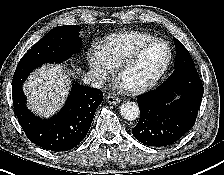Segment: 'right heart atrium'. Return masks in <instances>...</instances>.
Wrapping results in <instances>:
<instances>
[{"label": "right heart atrium", "mask_w": 224, "mask_h": 175, "mask_svg": "<svg viewBox=\"0 0 224 175\" xmlns=\"http://www.w3.org/2000/svg\"><path fill=\"white\" fill-rule=\"evenodd\" d=\"M88 63L92 74L98 80L107 79L112 72V67L103 59L98 49L88 52Z\"/></svg>", "instance_id": "1"}]
</instances>
